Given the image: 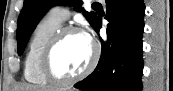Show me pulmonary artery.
<instances>
[{
  "instance_id": "e3ab8cb5",
  "label": "pulmonary artery",
  "mask_w": 173,
  "mask_h": 91,
  "mask_svg": "<svg viewBox=\"0 0 173 91\" xmlns=\"http://www.w3.org/2000/svg\"><path fill=\"white\" fill-rule=\"evenodd\" d=\"M52 14L60 21L63 22L69 17V11L62 6H55L52 9Z\"/></svg>"
}]
</instances>
